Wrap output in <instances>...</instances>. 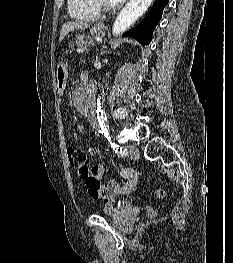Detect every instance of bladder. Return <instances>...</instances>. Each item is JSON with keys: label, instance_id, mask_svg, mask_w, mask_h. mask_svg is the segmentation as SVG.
Returning a JSON list of instances; mask_svg holds the SVG:
<instances>
[{"label": "bladder", "instance_id": "obj_1", "mask_svg": "<svg viewBox=\"0 0 233 263\" xmlns=\"http://www.w3.org/2000/svg\"><path fill=\"white\" fill-rule=\"evenodd\" d=\"M136 220L137 213L130 208L119 209L111 215V223L125 232L133 228Z\"/></svg>", "mask_w": 233, "mask_h": 263}]
</instances>
